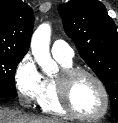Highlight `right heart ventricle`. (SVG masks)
<instances>
[{"label":"right heart ventricle","instance_id":"right-heart-ventricle-1","mask_svg":"<svg viewBox=\"0 0 118 123\" xmlns=\"http://www.w3.org/2000/svg\"><path fill=\"white\" fill-rule=\"evenodd\" d=\"M57 61L61 64L62 68H72V62ZM38 104L43 112L59 116L66 114L58 101L53 78H44V87L38 99Z\"/></svg>","mask_w":118,"mask_h":123}]
</instances>
